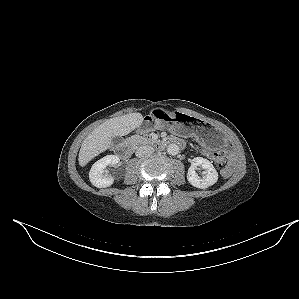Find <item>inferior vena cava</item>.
<instances>
[{
  "label": "inferior vena cava",
  "instance_id": "inferior-vena-cava-1",
  "mask_svg": "<svg viewBox=\"0 0 299 299\" xmlns=\"http://www.w3.org/2000/svg\"><path fill=\"white\" fill-rule=\"evenodd\" d=\"M154 151L153 147L149 146V145H143L137 148L135 154L137 157H144L147 155L152 154Z\"/></svg>",
  "mask_w": 299,
  "mask_h": 299
}]
</instances>
